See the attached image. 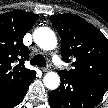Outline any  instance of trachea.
Listing matches in <instances>:
<instances>
[{"label":"trachea","instance_id":"3493384b","mask_svg":"<svg viewBox=\"0 0 108 108\" xmlns=\"http://www.w3.org/2000/svg\"><path fill=\"white\" fill-rule=\"evenodd\" d=\"M30 64L45 67L46 60L42 55L38 54L31 59Z\"/></svg>","mask_w":108,"mask_h":108}]
</instances>
